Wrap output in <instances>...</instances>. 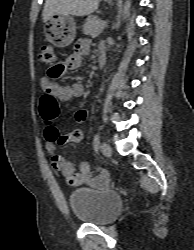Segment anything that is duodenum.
Instances as JSON below:
<instances>
[{
	"label": "duodenum",
	"instance_id": "1",
	"mask_svg": "<svg viewBox=\"0 0 194 250\" xmlns=\"http://www.w3.org/2000/svg\"><path fill=\"white\" fill-rule=\"evenodd\" d=\"M107 58L104 52H100L99 54V66L104 67L106 64Z\"/></svg>",
	"mask_w": 194,
	"mask_h": 250
}]
</instances>
